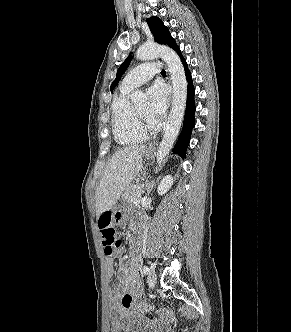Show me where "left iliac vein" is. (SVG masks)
<instances>
[{"instance_id":"1","label":"left iliac vein","mask_w":291,"mask_h":332,"mask_svg":"<svg viewBox=\"0 0 291 332\" xmlns=\"http://www.w3.org/2000/svg\"><path fill=\"white\" fill-rule=\"evenodd\" d=\"M147 280L150 287H153L156 284L157 276L153 267L149 268Z\"/></svg>"}]
</instances>
